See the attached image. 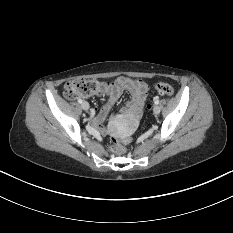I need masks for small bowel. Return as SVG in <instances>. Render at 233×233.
Here are the masks:
<instances>
[{
    "label": "small bowel",
    "instance_id": "c3829d8e",
    "mask_svg": "<svg viewBox=\"0 0 233 233\" xmlns=\"http://www.w3.org/2000/svg\"><path fill=\"white\" fill-rule=\"evenodd\" d=\"M124 92H128L131 98L121 112V115L126 114L134 121L141 116L142 108L147 97L148 85L142 80L121 76L110 83H106V89L104 91L106 95L105 104L99 112L96 109H93L91 112L94 125L103 130L100 126L101 121L107 116L111 107Z\"/></svg>",
    "mask_w": 233,
    "mask_h": 233
}]
</instances>
